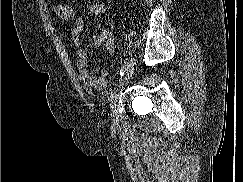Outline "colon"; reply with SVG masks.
I'll list each match as a JSON object with an SVG mask.
<instances>
[{
  "instance_id": "1",
  "label": "colon",
  "mask_w": 243,
  "mask_h": 182,
  "mask_svg": "<svg viewBox=\"0 0 243 182\" xmlns=\"http://www.w3.org/2000/svg\"><path fill=\"white\" fill-rule=\"evenodd\" d=\"M54 12L62 19H70L73 15L72 7L67 3H57L54 5Z\"/></svg>"
}]
</instances>
